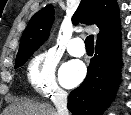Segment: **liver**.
Masks as SVG:
<instances>
[{"label": "liver", "instance_id": "obj_1", "mask_svg": "<svg viewBox=\"0 0 131 115\" xmlns=\"http://www.w3.org/2000/svg\"><path fill=\"white\" fill-rule=\"evenodd\" d=\"M3 115H58L49 104H39L30 100H17L11 104Z\"/></svg>", "mask_w": 131, "mask_h": 115}]
</instances>
